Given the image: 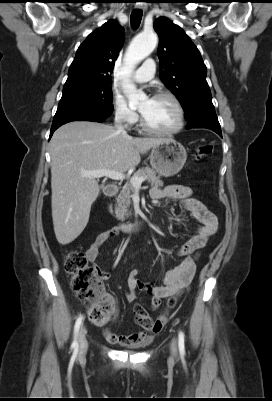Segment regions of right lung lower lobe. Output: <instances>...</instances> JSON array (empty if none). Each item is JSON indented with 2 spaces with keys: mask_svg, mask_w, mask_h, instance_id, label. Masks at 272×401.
<instances>
[{
  "mask_svg": "<svg viewBox=\"0 0 272 401\" xmlns=\"http://www.w3.org/2000/svg\"><path fill=\"white\" fill-rule=\"evenodd\" d=\"M107 117H101L97 115H91V114H81V115H76L64 120H60L58 122L52 123L51 131H50V138L53 134V132L60 127L61 125L71 122V121H93V122H102L106 119Z\"/></svg>",
  "mask_w": 272,
  "mask_h": 401,
  "instance_id": "right-lung-lower-lobe-1",
  "label": "right lung lower lobe"
}]
</instances>
